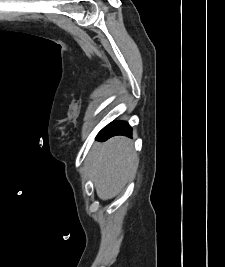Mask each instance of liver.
<instances>
[{
	"mask_svg": "<svg viewBox=\"0 0 225 267\" xmlns=\"http://www.w3.org/2000/svg\"><path fill=\"white\" fill-rule=\"evenodd\" d=\"M138 164L131 140L117 136L94 144L84 162L83 176L92 179L101 200H109L134 178Z\"/></svg>",
	"mask_w": 225,
	"mask_h": 267,
	"instance_id": "obj_1",
	"label": "liver"
}]
</instances>
